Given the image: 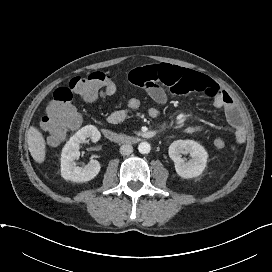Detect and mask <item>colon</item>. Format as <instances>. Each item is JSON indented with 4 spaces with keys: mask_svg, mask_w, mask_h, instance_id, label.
<instances>
[{
    "mask_svg": "<svg viewBox=\"0 0 272 272\" xmlns=\"http://www.w3.org/2000/svg\"><path fill=\"white\" fill-rule=\"evenodd\" d=\"M116 92V85L105 73L92 72L85 76H77L70 80L69 85L60 87L53 93L46 106V114L42 119V129L52 145L59 144L66 134L80 123V116L73 105V95L78 94L86 101H94L102 96H110ZM125 108L134 111L141 106L136 97L121 95ZM213 146L224 149L226 142L221 138L213 141Z\"/></svg>",
    "mask_w": 272,
    "mask_h": 272,
    "instance_id": "1",
    "label": "colon"
}]
</instances>
